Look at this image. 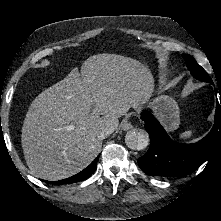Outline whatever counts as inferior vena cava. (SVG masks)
<instances>
[{
  "mask_svg": "<svg viewBox=\"0 0 221 221\" xmlns=\"http://www.w3.org/2000/svg\"><path fill=\"white\" fill-rule=\"evenodd\" d=\"M113 131H114V128L112 126L103 127L100 129L97 136L100 139H104V138L108 137L109 135H111L113 133Z\"/></svg>",
  "mask_w": 221,
  "mask_h": 221,
  "instance_id": "inferior-vena-cava-1",
  "label": "inferior vena cava"
}]
</instances>
